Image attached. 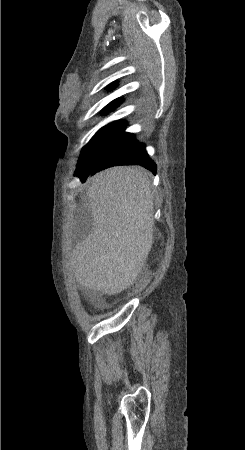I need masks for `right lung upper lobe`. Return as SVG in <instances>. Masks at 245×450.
<instances>
[{"label":"right lung upper lobe","instance_id":"1","mask_svg":"<svg viewBox=\"0 0 245 450\" xmlns=\"http://www.w3.org/2000/svg\"><path fill=\"white\" fill-rule=\"evenodd\" d=\"M114 86H115V84H111V85L108 87V89L114 88ZM121 102H122V99H121V98H118V99L112 101L109 105H107V106H106V109H114V108L118 107L119 104H120Z\"/></svg>","mask_w":245,"mask_h":450}]
</instances>
